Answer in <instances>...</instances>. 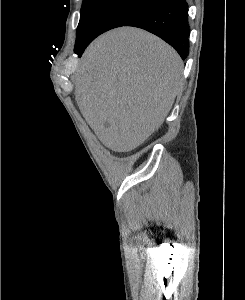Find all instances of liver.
Instances as JSON below:
<instances>
[{
	"mask_svg": "<svg viewBox=\"0 0 245 300\" xmlns=\"http://www.w3.org/2000/svg\"><path fill=\"white\" fill-rule=\"evenodd\" d=\"M183 62L157 36L120 27L95 39L75 74V98L99 140L116 152L140 146L164 122L183 83Z\"/></svg>",
	"mask_w": 245,
	"mask_h": 300,
	"instance_id": "obj_1",
	"label": "liver"
}]
</instances>
